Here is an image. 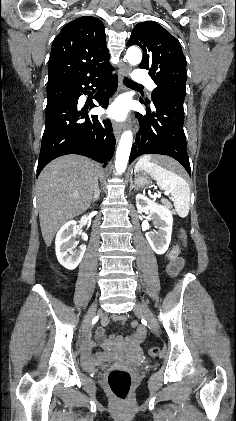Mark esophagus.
Segmentation results:
<instances>
[{
  "mask_svg": "<svg viewBox=\"0 0 236 421\" xmlns=\"http://www.w3.org/2000/svg\"><path fill=\"white\" fill-rule=\"evenodd\" d=\"M129 72H130V69L128 67H126L123 71L120 72L119 88H118L119 91L124 89L123 83H122V77H125L126 75H128ZM122 130H123L122 124H117V123L113 124V131H114V135H115V138H116L117 141L119 140V137L122 133Z\"/></svg>",
  "mask_w": 236,
  "mask_h": 421,
  "instance_id": "34e87169",
  "label": "esophagus"
}]
</instances>
